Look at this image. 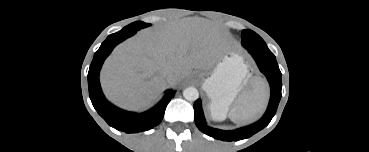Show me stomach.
Masks as SVG:
<instances>
[{
    "instance_id": "stomach-1",
    "label": "stomach",
    "mask_w": 369,
    "mask_h": 152,
    "mask_svg": "<svg viewBox=\"0 0 369 152\" xmlns=\"http://www.w3.org/2000/svg\"><path fill=\"white\" fill-rule=\"evenodd\" d=\"M248 77L247 65L240 56L233 54L225 56L204 80L202 88L211 100L209 109L214 119H225L231 103Z\"/></svg>"
}]
</instances>
